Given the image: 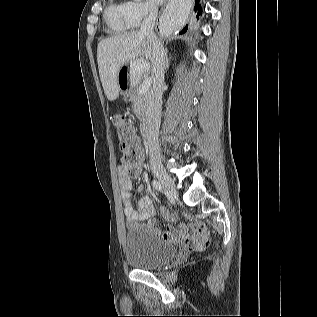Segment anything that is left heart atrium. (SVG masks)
<instances>
[{
	"label": "left heart atrium",
	"mask_w": 317,
	"mask_h": 317,
	"mask_svg": "<svg viewBox=\"0 0 317 317\" xmlns=\"http://www.w3.org/2000/svg\"><path fill=\"white\" fill-rule=\"evenodd\" d=\"M154 4H160L162 3L164 0H151Z\"/></svg>",
	"instance_id": "39dd6f15"
}]
</instances>
